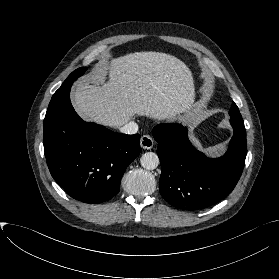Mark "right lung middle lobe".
I'll return each mask as SVG.
<instances>
[{
  "instance_id": "1",
  "label": "right lung middle lobe",
  "mask_w": 279,
  "mask_h": 279,
  "mask_svg": "<svg viewBox=\"0 0 279 279\" xmlns=\"http://www.w3.org/2000/svg\"><path fill=\"white\" fill-rule=\"evenodd\" d=\"M87 70V68H78L73 71L67 79L63 82L61 87L54 93L50 104L47 109L46 115L50 114L54 110H56L61 104H63L68 98L70 93V88L74 80L83 75V73Z\"/></svg>"
}]
</instances>
